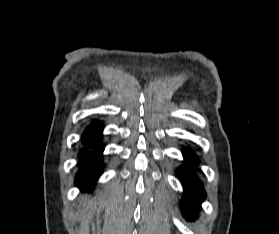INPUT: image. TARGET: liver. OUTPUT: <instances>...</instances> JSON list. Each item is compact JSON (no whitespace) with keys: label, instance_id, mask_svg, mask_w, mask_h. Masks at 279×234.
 <instances>
[{"label":"liver","instance_id":"liver-1","mask_svg":"<svg viewBox=\"0 0 279 234\" xmlns=\"http://www.w3.org/2000/svg\"><path fill=\"white\" fill-rule=\"evenodd\" d=\"M79 214H80V208H78V212H76V214H75V219L78 218Z\"/></svg>","mask_w":279,"mask_h":234}]
</instances>
